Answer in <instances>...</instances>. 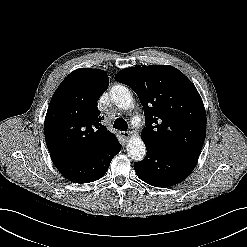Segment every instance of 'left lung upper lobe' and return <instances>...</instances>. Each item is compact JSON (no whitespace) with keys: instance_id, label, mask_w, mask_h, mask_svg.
I'll use <instances>...</instances> for the list:
<instances>
[{"instance_id":"obj_1","label":"left lung upper lobe","mask_w":247,"mask_h":247,"mask_svg":"<svg viewBox=\"0 0 247 247\" xmlns=\"http://www.w3.org/2000/svg\"><path fill=\"white\" fill-rule=\"evenodd\" d=\"M115 80L130 86L144 109L146 145L199 157L206 136V114L193 83L170 65L121 70Z\"/></svg>"}]
</instances>
